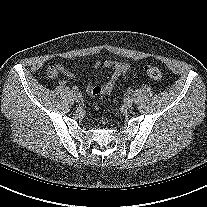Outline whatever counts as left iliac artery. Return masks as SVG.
Instances as JSON below:
<instances>
[{"label":"left iliac artery","instance_id":"44dca946","mask_svg":"<svg viewBox=\"0 0 207 207\" xmlns=\"http://www.w3.org/2000/svg\"><path fill=\"white\" fill-rule=\"evenodd\" d=\"M128 93H132L133 92V89L132 88H128Z\"/></svg>","mask_w":207,"mask_h":207}]
</instances>
